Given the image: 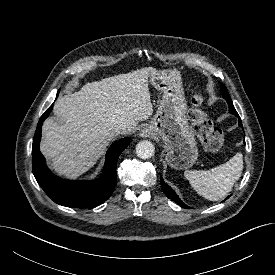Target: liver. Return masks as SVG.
I'll return each mask as SVG.
<instances>
[{
  "label": "liver",
  "instance_id": "obj_1",
  "mask_svg": "<svg viewBox=\"0 0 275 275\" xmlns=\"http://www.w3.org/2000/svg\"><path fill=\"white\" fill-rule=\"evenodd\" d=\"M154 70L146 67L86 83L56 101L54 114L60 120L44 121L40 150L58 174L82 175L118 136L119 127L130 133L152 115L148 78Z\"/></svg>",
  "mask_w": 275,
  "mask_h": 275
}]
</instances>
